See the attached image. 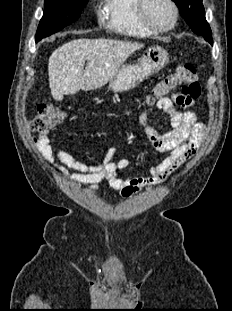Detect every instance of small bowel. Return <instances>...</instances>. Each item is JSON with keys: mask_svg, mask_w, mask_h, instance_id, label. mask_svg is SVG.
I'll return each mask as SVG.
<instances>
[{"mask_svg": "<svg viewBox=\"0 0 232 311\" xmlns=\"http://www.w3.org/2000/svg\"><path fill=\"white\" fill-rule=\"evenodd\" d=\"M194 104L193 99L176 93L159 99L140 113L139 124L153 148L169 153L160 163L150 168L149 176L127 179L119 177L118 172L127 169L131 160H112L116 153L114 150L97 163H86L74 158L60 145L52 144L47 135L39 136L35 139V144L43 159L64 179L90 184L92 190H96L101 182H106L109 188L118 191L122 197H132L146 188L163 183L195 155L205 135V126L198 121L193 111H181V108L187 109ZM156 109L162 110L170 119L171 131L160 133L149 123V115Z\"/></svg>", "mask_w": 232, "mask_h": 311, "instance_id": "small-bowel-1", "label": "small bowel"}]
</instances>
